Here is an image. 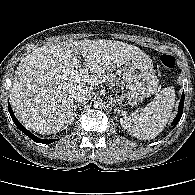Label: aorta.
<instances>
[{"label":"aorta","mask_w":195,"mask_h":195,"mask_svg":"<svg viewBox=\"0 0 195 195\" xmlns=\"http://www.w3.org/2000/svg\"><path fill=\"white\" fill-rule=\"evenodd\" d=\"M93 106L97 109H102L105 106V102L102 98H97L94 100Z\"/></svg>","instance_id":"aorta-1"}]
</instances>
